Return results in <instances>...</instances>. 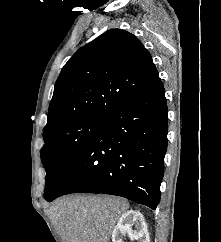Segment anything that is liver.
<instances>
[{
    "instance_id": "liver-1",
    "label": "liver",
    "mask_w": 221,
    "mask_h": 242,
    "mask_svg": "<svg viewBox=\"0 0 221 242\" xmlns=\"http://www.w3.org/2000/svg\"><path fill=\"white\" fill-rule=\"evenodd\" d=\"M127 200L111 196H70L56 200L49 210L62 242H109Z\"/></svg>"
}]
</instances>
